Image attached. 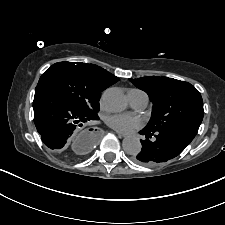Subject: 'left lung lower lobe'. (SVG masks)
Segmentation results:
<instances>
[{"label": "left lung lower lobe", "mask_w": 225, "mask_h": 225, "mask_svg": "<svg viewBox=\"0 0 225 225\" xmlns=\"http://www.w3.org/2000/svg\"><path fill=\"white\" fill-rule=\"evenodd\" d=\"M199 126L186 124L160 132L142 129L139 133L146 139L140 140L142 150L134 157V160L143 165L156 166L175 158L194 139ZM152 136L155 137L154 140H150Z\"/></svg>", "instance_id": "0a47b994"}]
</instances>
